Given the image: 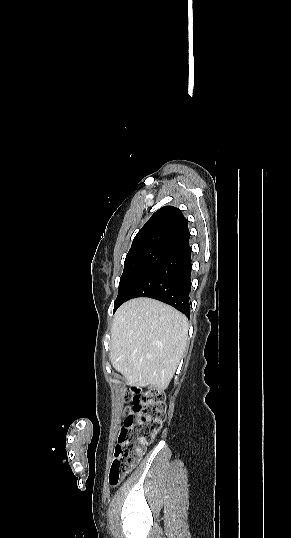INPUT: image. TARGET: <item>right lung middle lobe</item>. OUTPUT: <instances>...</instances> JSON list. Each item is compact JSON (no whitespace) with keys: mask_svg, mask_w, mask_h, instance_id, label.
Segmentation results:
<instances>
[{"mask_svg":"<svg viewBox=\"0 0 291 538\" xmlns=\"http://www.w3.org/2000/svg\"><path fill=\"white\" fill-rule=\"evenodd\" d=\"M170 251L171 249L165 247H148L128 252L125 258L124 271L120 278L119 292L114 303L113 312L129 299L130 294L141 280Z\"/></svg>","mask_w":291,"mask_h":538,"instance_id":"obj_1","label":"right lung middle lobe"}]
</instances>
